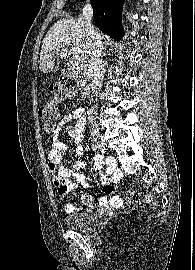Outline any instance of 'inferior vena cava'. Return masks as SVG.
<instances>
[{
	"instance_id": "1",
	"label": "inferior vena cava",
	"mask_w": 195,
	"mask_h": 270,
	"mask_svg": "<svg viewBox=\"0 0 195 270\" xmlns=\"http://www.w3.org/2000/svg\"><path fill=\"white\" fill-rule=\"evenodd\" d=\"M93 16V10L91 4L88 2L84 5L82 10V19L85 23V28L88 36L87 50L85 54L86 64L91 78V89L92 92L97 95L100 91L102 81L104 78V65L102 61V49L103 44L100 35L91 24ZM93 106L88 113L93 114L95 111ZM94 128V126H93Z\"/></svg>"
}]
</instances>
